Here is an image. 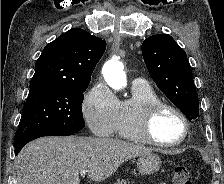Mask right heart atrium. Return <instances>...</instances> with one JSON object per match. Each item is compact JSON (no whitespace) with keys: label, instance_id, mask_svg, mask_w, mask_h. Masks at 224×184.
Segmentation results:
<instances>
[{"label":"right heart atrium","instance_id":"right-heart-atrium-1","mask_svg":"<svg viewBox=\"0 0 224 184\" xmlns=\"http://www.w3.org/2000/svg\"><path fill=\"white\" fill-rule=\"evenodd\" d=\"M119 100L102 81L96 82L82 102L84 120L97 136L105 137L113 133Z\"/></svg>","mask_w":224,"mask_h":184}]
</instances>
